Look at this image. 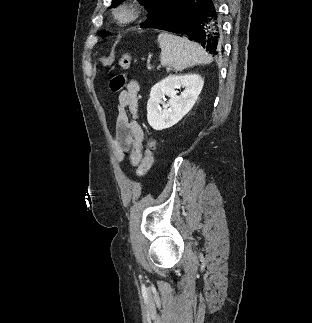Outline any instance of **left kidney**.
I'll use <instances>...</instances> for the list:
<instances>
[{"mask_svg": "<svg viewBox=\"0 0 312 323\" xmlns=\"http://www.w3.org/2000/svg\"><path fill=\"white\" fill-rule=\"evenodd\" d=\"M204 80L199 74L185 76H167L153 86L147 104V120L153 130H166L180 122L193 108L202 88ZM179 88H184L177 96ZM164 96L171 100L165 104ZM162 104V108L160 106Z\"/></svg>", "mask_w": 312, "mask_h": 323, "instance_id": "obj_1", "label": "left kidney"}]
</instances>
